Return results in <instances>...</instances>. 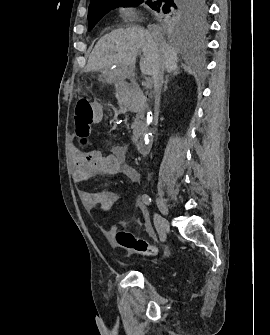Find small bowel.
<instances>
[{"label":"small bowel","instance_id":"1","mask_svg":"<svg viewBox=\"0 0 270 335\" xmlns=\"http://www.w3.org/2000/svg\"><path fill=\"white\" fill-rule=\"evenodd\" d=\"M104 111L100 104L95 103L93 109V118L96 123L102 121ZM72 177L75 182H86L96 176H108L116 173L123 174L132 183L138 185L141 182L140 172L126 162V149L116 146L109 154H103L99 150L78 151L72 153L71 163ZM78 195L82 205L90 214L94 213V207L98 205L100 211L105 216H110L114 205L123 199V196L109 190L89 191L79 189ZM145 224V228L149 231L151 228L149 214L146 206L139 200H135ZM99 228L103 230V225L99 224ZM117 226H113L110 231H105L106 235L116 231Z\"/></svg>","mask_w":270,"mask_h":335}]
</instances>
